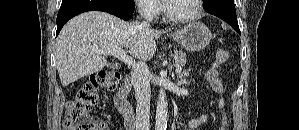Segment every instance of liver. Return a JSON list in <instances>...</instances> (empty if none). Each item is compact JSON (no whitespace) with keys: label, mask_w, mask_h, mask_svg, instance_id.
I'll return each instance as SVG.
<instances>
[{"label":"liver","mask_w":299,"mask_h":130,"mask_svg":"<svg viewBox=\"0 0 299 130\" xmlns=\"http://www.w3.org/2000/svg\"><path fill=\"white\" fill-rule=\"evenodd\" d=\"M170 30V29H169ZM165 31L126 23L106 12L89 11L71 19L56 40V67L64 87L108 66L96 50L126 48L141 60H150L156 52L155 40Z\"/></svg>","instance_id":"obj_1"}]
</instances>
